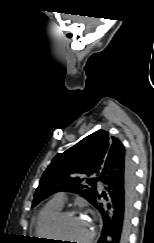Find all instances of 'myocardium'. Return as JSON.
Returning a JSON list of instances; mask_svg holds the SVG:
<instances>
[{
	"mask_svg": "<svg viewBox=\"0 0 154 243\" xmlns=\"http://www.w3.org/2000/svg\"><path fill=\"white\" fill-rule=\"evenodd\" d=\"M77 214H81L80 211L75 210V209H66V210H61L52 220L51 224H50V235L53 239H57L60 238L58 236V229L59 226L61 224V222L68 216L71 215H77ZM91 228H90V232L89 235L87 236V238L85 239V241H83V243H91L93 238L95 237V232H96V225L94 223V221L91 218H88Z\"/></svg>",
	"mask_w": 154,
	"mask_h": 243,
	"instance_id": "obj_1",
	"label": "myocardium"
}]
</instances>
